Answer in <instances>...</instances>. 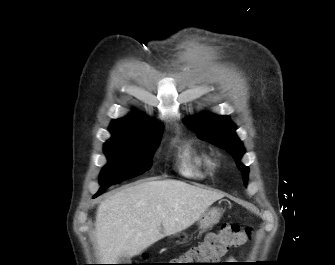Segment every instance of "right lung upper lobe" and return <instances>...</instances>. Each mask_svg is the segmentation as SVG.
I'll list each match as a JSON object with an SVG mask.
<instances>
[{"label":"right lung upper lobe","instance_id":"cb5924a9","mask_svg":"<svg viewBox=\"0 0 335 265\" xmlns=\"http://www.w3.org/2000/svg\"><path fill=\"white\" fill-rule=\"evenodd\" d=\"M161 128V125L157 122L148 119L147 117L134 112L130 114L128 117L117 119L112 121L110 125L111 132H117L119 130H126V129H158Z\"/></svg>","mask_w":335,"mask_h":265}]
</instances>
